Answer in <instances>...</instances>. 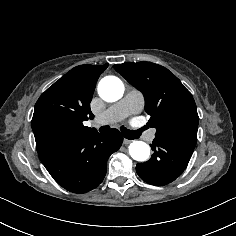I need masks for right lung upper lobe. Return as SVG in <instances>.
<instances>
[{
  "instance_id": "1",
  "label": "right lung upper lobe",
  "mask_w": 236,
  "mask_h": 236,
  "mask_svg": "<svg viewBox=\"0 0 236 236\" xmlns=\"http://www.w3.org/2000/svg\"><path fill=\"white\" fill-rule=\"evenodd\" d=\"M107 67V64L74 67L40 96L31 122L37 151L68 137L97 132L83 122L94 118L90 102L95 84Z\"/></svg>"
}]
</instances>
